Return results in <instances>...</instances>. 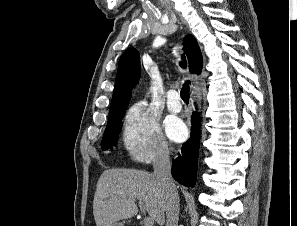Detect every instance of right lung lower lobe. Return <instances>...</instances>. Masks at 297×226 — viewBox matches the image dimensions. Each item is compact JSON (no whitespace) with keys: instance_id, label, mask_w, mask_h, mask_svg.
Here are the masks:
<instances>
[{"instance_id":"98d812e1","label":"right lung lower lobe","mask_w":297,"mask_h":226,"mask_svg":"<svg viewBox=\"0 0 297 226\" xmlns=\"http://www.w3.org/2000/svg\"><path fill=\"white\" fill-rule=\"evenodd\" d=\"M199 125L198 115H193L191 137L183 144L181 156L172 161V176L180 184L188 187H193L196 183Z\"/></svg>"}]
</instances>
